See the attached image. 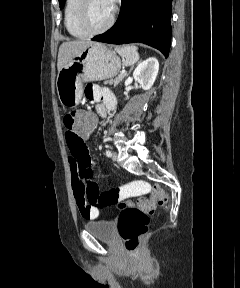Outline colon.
<instances>
[{
  "instance_id": "obj_1",
  "label": "colon",
  "mask_w": 240,
  "mask_h": 288,
  "mask_svg": "<svg viewBox=\"0 0 240 288\" xmlns=\"http://www.w3.org/2000/svg\"><path fill=\"white\" fill-rule=\"evenodd\" d=\"M94 114L85 110H72L64 116L66 133L81 137L91 132L95 125ZM131 191L140 193L149 191L150 198H140L135 203L125 202L119 189H111L103 193L90 191L88 203L99 208L116 204L120 210L118 229L126 250L135 253L141 238L147 232L150 216L154 213L156 204L163 206L168 201L167 193L157 185L150 186L144 182L135 183Z\"/></svg>"
}]
</instances>
